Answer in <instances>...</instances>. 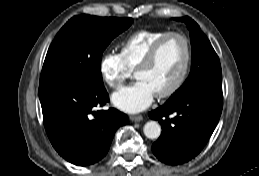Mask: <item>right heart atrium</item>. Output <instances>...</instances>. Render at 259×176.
Instances as JSON below:
<instances>
[{"instance_id":"d8ad5b80","label":"right heart atrium","mask_w":259,"mask_h":176,"mask_svg":"<svg viewBox=\"0 0 259 176\" xmlns=\"http://www.w3.org/2000/svg\"><path fill=\"white\" fill-rule=\"evenodd\" d=\"M99 72L103 81L113 89L121 88L131 75L121 55L116 52H107L102 56Z\"/></svg>"}]
</instances>
